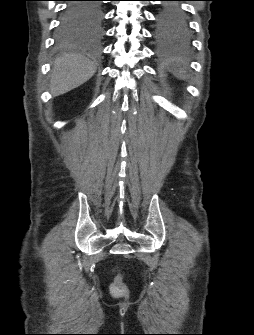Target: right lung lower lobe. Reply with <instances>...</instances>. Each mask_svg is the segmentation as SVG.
Listing matches in <instances>:
<instances>
[{
    "instance_id": "98d812e1",
    "label": "right lung lower lobe",
    "mask_w": 254,
    "mask_h": 335,
    "mask_svg": "<svg viewBox=\"0 0 254 335\" xmlns=\"http://www.w3.org/2000/svg\"><path fill=\"white\" fill-rule=\"evenodd\" d=\"M90 2L97 1L82 0L70 2L62 17L60 27L71 25L75 21L74 15L78 14L80 28L86 31L92 29L99 22L100 16L98 10L89 6Z\"/></svg>"
}]
</instances>
